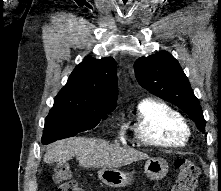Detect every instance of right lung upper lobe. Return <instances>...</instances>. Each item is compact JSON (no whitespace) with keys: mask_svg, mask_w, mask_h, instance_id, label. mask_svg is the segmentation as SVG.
Segmentation results:
<instances>
[{"mask_svg":"<svg viewBox=\"0 0 221 191\" xmlns=\"http://www.w3.org/2000/svg\"><path fill=\"white\" fill-rule=\"evenodd\" d=\"M117 101V69L113 58L86 56L54 99V107H79L112 112Z\"/></svg>","mask_w":221,"mask_h":191,"instance_id":"obj_1","label":"right lung upper lobe"}]
</instances>
